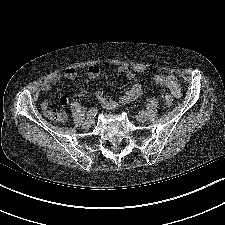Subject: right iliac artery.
Listing matches in <instances>:
<instances>
[{
    "mask_svg": "<svg viewBox=\"0 0 225 225\" xmlns=\"http://www.w3.org/2000/svg\"><path fill=\"white\" fill-rule=\"evenodd\" d=\"M97 111H98V109H97L96 107L91 108V109L87 112L86 118H87V119H92L93 117L96 116Z\"/></svg>",
    "mask_w": 225,
    "mask_h": 225,
    "instance_id": "82829eb1",
    "label": "right iliac artery"
}]
</instances>
